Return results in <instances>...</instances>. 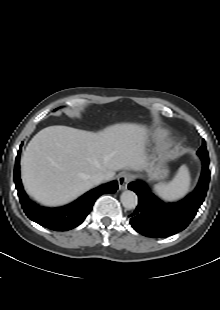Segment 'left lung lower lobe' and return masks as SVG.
I'll return each instance as SVG.
<instances>
[{
	"label": "left lung lower lobe",
	"instance_id": "obj_1",
	"mask_svg": "<svg viewBox=\"0 0 220 310\" xmlns=\"http://www.w3.org/2000/svg\"><path fill=\"white\" fill-rule=\"evenodd\" d=\"M201 160L203 166L198 185L181 201H161L140 180L128 185L139 198L136 210L130 215V223L138 233L152 238L168 237L189 225L205 199L210 180L209 159Z\"/></svg>",
	"mask_w": 220,
	"mask_h": 310
}]
</instances>
